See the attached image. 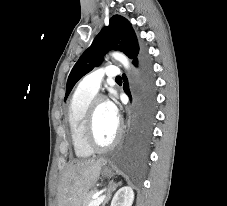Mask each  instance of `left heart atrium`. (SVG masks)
I'll return each instance as SVG.
<instances>
[{
  "mask_svg": "<svg viewBox=\"0 0 227 206\" xmlns=\"http://www.w3.org/2000/svg\"><path fill=\"white\" fill-rule=\"evenodd\" d=\"M106 103V108L111 119L118 124L119 120V110L116 102L114 100H108Z\"/></svg>",
  "mask_w": 227,
  "mask_h": 206,
  "instance_id": "obj_1",
  "label": "left heart atrium"
}]
</instances>
